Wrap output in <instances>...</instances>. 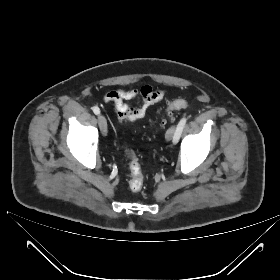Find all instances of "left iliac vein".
I'll use <instances>...</instances> for the list:
<instances>
[{"label":"left iliac vein","mask_w":280,"mask_h":280,"mask_svg":"<svg viewBox=\"0 0 280 280\" xmlns=\"http://www.w3.org/2000/svg\"><path fill=\"white\" fill-rule=\"evenodd\" d=\"M175 132H176V127H175V126H171V127L167 130V132H166V134H165L166 140H167V141L172 140V139L174 138Z\"/></svg>","instance_id":"4c4485c4"}]
</instances>
